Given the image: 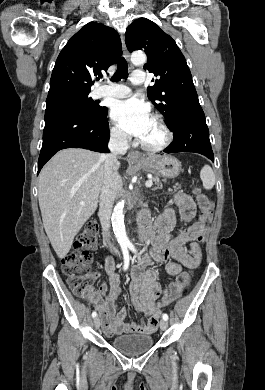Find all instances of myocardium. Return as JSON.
Here are the masks:
<instances>
[{"mask_svg": "<svg viewBox=\"0 0 265 390\" xmlns=\"http://www.w3.org/2000/svg\"><path fill=\"white\" fill-rule=\"evenodd\" d=\"M153 121H155V123L159 126V128L162 132V135H163L162 140L159 143L154 144V145L147 144L143 141H140V146L142 149H144L147 152L157 153V152L163 151L171 144V142L173 140V134H172L169 126L165 123V121L160 116L155 115L153 117Z\"/></svg>", "mask_w": 265, "mask_h": 390, "instance_id": "1", "label": "myocardium"}]
</instances>
